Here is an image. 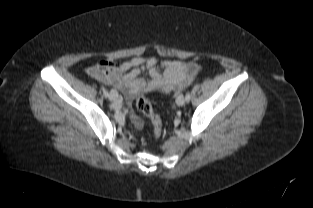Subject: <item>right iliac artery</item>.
Wrapping results in <instances>:
<instances>
[{
	"label": "right iliac artery",
	"instance_id": "82829eb1",
	"mask_svg": "<svg viewBox=\"0 0 313 208\" xmlns=\"http://www.w3.org/2000/svg\"><path fill=\"white\" fill-rule=\"evenodd\" d=\"M103 94H104L105 97H108V96H109V93H108L107 90H104V91H103Z\"/></svg>",
	"mask_w": 313,
	"mask_h": 208
}]
</instances>
